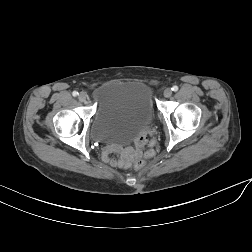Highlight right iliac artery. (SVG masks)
Wrapping results in <instances>:
<instances>
[{
	"mask_svg": "<svg viewBox=\"0 0 252 252\" xmlns=\"http://www.w3.org/2000/svg\"><path fill=\"white\" fill-rule=\"evenodd\" d=\"M72 95H73L74 97H76V96L78 95V92H77V91H73Z\"/></svg>",
	"mask_w": 252,
	"mask_h": 252,
	"instance_id": "right-iliac-artery-1",
	"label": "right iliac artery"
}]
</instances>
